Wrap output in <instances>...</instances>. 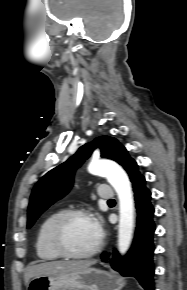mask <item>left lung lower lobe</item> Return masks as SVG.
I'll return each mask as SVG.
<instances>
[{"mask_svg": "<svg viewBox=\"0 0 187 290\" xmlns=\"http://www.w3.org/2000/svg\"><path fill=\"white\" fill-rule=\"evenodd\" d=\"M137 209V227L133 246L125 257L114 251L110 260L111 267L123 276L135 277L145 290H154L153 263V222L154 208L151 205V192L145 186V178L140 175L132 183ZM109 254L104 252L101 257L106 262Z\"/></svg>", "mask_w": 187, "mask_h": 290, "instance_id": "left-lung-lower-lobe-1", "label": "left lung lower lobe"}]
</instances>
